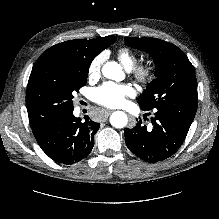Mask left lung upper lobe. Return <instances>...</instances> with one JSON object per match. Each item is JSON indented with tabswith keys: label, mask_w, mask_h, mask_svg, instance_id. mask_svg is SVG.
Returning <instances> with one entry per match:
<instances>
[{
	"label": "left lung upper lobe",
	"mask_w": 219,
	"mask_h": 219,
	"mask_svg": "<svg viewBox=\"0 0 219 219\" xmlns=\"http://www.w3.org/2000/svg\"><path fill=\"white\" fill-rule=\"evenodd\" d=\"M125 42L132 48L149 53L156 65L157 79L137 99L141 108L155 109L185 100H197L194 67L182 50L154 38L126 37Z\"/></svg>",
	"instance_id": "obj_1"
}]
</instances>
